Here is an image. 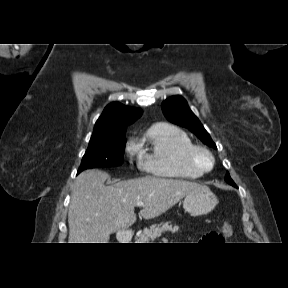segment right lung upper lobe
Returning <instances> with one entry per match:
<instances>
[{
  "label": "right lung upper lobe",
  "mask_w": 288,
  "mask_h": 288,
  "mask_svg": "<svg viewBox=\"0 0 288 288\" xmlns=\"http://www.w3.org/2000/svg\"><path fill=\"white\" fill-rule=\"evenodd\" d=\"M142 110L114 102L107 105L97 120L90 140L125 133L127 126L136 121Z\"/></svg>",
  "instance_id": "1"
}]
</instances>
